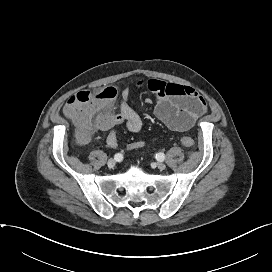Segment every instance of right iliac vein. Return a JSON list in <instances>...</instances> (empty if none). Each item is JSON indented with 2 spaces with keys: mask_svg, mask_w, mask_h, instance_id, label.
<instances>
[{
  "mask_svg": "<svg viewBox=\"0 0 272 272\" xmlns=\"http://www.w3.org/2000/svg\"><path fill=\"white\" fill-rule=\"evenodd\" d=\"M115 164H116V161L113 158L109 159L107 162V165L109 168H113L115 166Z\"/></svg>",
  "mask_w": 272,
  "mask_h": 272,
  "instance_id": "right-iliac-vein-1",
  "label": "right iliac vein"
}]
</instances>
